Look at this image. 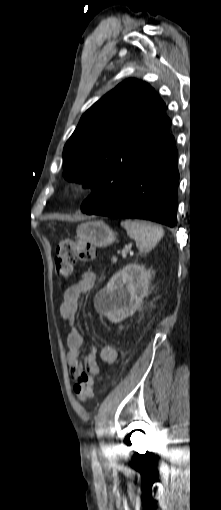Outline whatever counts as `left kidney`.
I'll return each mask as SVG.
<instances>
[{"instance_id": "left-kidney-1", "label": "left kidney", "mask_w": 221, "mask_h": 510, "mask_svg": "<svg viewBox=\"0 0 221 510\" xmlns=\"http://www.w3.org/2000/svg\"><path fill=\"white\" fill-rule=\"evenodd\" d=\"M151 276V271L142 265H126L96 294V310L112 323H119L132 316L148 293Z\"/></svg>"}]
</instances>
